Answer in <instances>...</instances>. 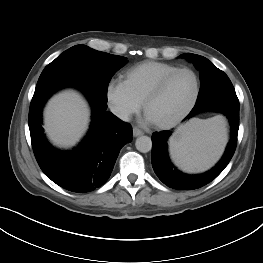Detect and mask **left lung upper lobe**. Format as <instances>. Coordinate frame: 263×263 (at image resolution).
Segmentation results:
<instances>
[{
	"mask_svg": "<svg viewBox=\"0 0 263 263\" xmlns=\"http://www.w3.org/2000/svg\"><path fill=\"white\" fill-rule=\"evenodd\" d=\"M193 62L201 74V87L197 101L203 100L215 93L235 92L228 76L212 64L207 58L192 53L183 54Z\"/></svg>",
	"mask_w": 263,
	"mask_h": 263,
	"instance_id": "obj_1",
	"label": "left lung upper lobe"
}]
</instances>
